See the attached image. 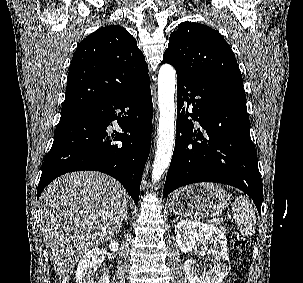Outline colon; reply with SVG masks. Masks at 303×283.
Wrapping results in <instances>:
<instances>
[{"instance_id":"obj_1","label":"colon","mask_w":303,"mask_h":283,"mask_svg":"<svg viewBox=\"0 0 303 283\" xmlns=\"http://www.w3.org/2000/svg\"><path fill=\"white\" fill-rule=\"evenodd\" d=\"M234 245H235V248H236L240 253H244L246 243H245V241H244L243 238L237 236V237L235 238Z\"/></svg>"}]
</instances>
